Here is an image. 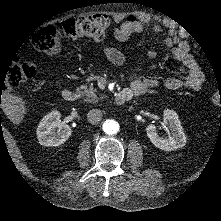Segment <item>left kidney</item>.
Wrapping results in <instances>:
<instances>
[{
	"label": "left kidney",
	"instance_id": "left-kidney-1",
	"mask_svg": "<svg viewBox=\"0 0 221 221\" xmlns=\"http://www.w3.org/2000/svg\"><path fill=\"white\" fill-rule=\"evenodd\" d=\"M163 126L166 130V134L163 136H159L154 124L146 127L148 138L157 148L164 151H173L185 146L186 135L174 110L165 109L163 111Z\"/></svg>",
	"mask_w": 221,
	"mask_h": 221
}]
</instances>
